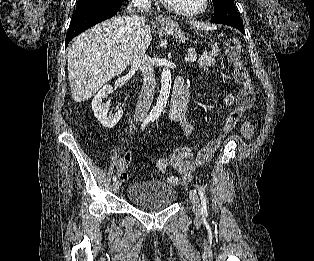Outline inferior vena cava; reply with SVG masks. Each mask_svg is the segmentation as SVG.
Wrapping results in <instances>:
<instances>
[{"label": "inferior vena cava", "mask_w": 314, "mask_h": 261, "mask_svg": "<svg viewBox=\"0 0 314 261\" xmlns=\"http://www.w3.org/2000/svg\"><path fill=\"white\" fill-rule=\"evenodd\" d=\"M149 7V0H132L127 8L128 13L130 14V17L127 19V27L129 28L131 35L128 59L131 66L140 69L143 75V87L135 109L136 119H143L146 117L153 100L155 89L153 64L151 59L146 55L145 50L138 44L145 22L143 16L140 17L138 13L148 11Z\"/></svg>", "instance_id": "inferior-vena-cava-1"}]
</instances>
